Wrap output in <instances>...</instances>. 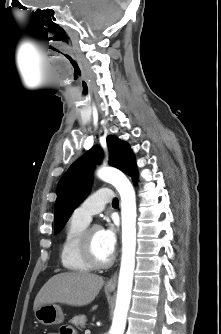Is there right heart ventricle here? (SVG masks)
<instances>
[{"instance_id":"1","label":"right heart ventricle","mask_w":221,"mask_h":334,"mask_svg":"<svg viewBox=\"0 0 221 334\" xmlns=\"http://www.w3.org/2000/svg\"><path fill=\"white\" fill-rule=\"evenodd\" d=\"M87 226V222L72 215L65 227L60 247V260L62 266L70 272L86 273L92 270V267L83 258L79 248L81 234Z\"/></svg>"}]
</instances>
